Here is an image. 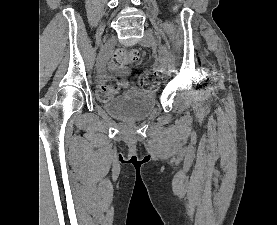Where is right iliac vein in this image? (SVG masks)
I'll use <instances>...</instances> for the list:
<instances>
[{"instance_id":"right-iliac-vein-1","label":"right iliac vein","mask_w":277,"mask_h":225,"mask_svg":"<svg viewBox=\"0 0 277 225\" xmlns=\"http://www.w3.org/2000/svg\"><path fill=\"white\" fill-rule=\"evenodd\" d=\"M115 44H116V38L110 37L105 42V44L102 46V48L97 56V60H96L97 69H100L105 65V63L108 59V56H109L110 52L112 51V49L114 48Z\"/></svg>"}]
</instances>
